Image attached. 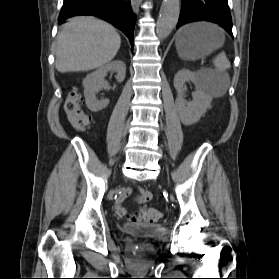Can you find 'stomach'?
Instances as JSON below:
<instances>
[{
    "label": "stomach",
    "instance_id": "0dacf381",
    "mask_svg": "<svg viewBox=\"0 0 279 279\" xmlns=\"http://www.w3.org/2000/svg\"><path fill=\"white\" fill-rule=\"evenodd\" d=\"M175 44L182 59L195 60L221 47L224 44V34L215 25L193 23L178 31Z\"/></svg>",
    "mask_w": 279,
    "mask_h": 279
}]
</instances>
